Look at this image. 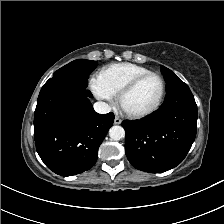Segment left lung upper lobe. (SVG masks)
Wrapping results in <instances>:
<instances>
[{
    "mask_svg": "<svg viewBox=\"0 0 224 224\" xmlns=\"http://www.w3.org/2000/svg\"><path fill=\"white\" fill-rule=\"evenodd\" d=\"M161 71L164 74L166 84V97L172 96L177 92L189 88L187 84L181 81L170 69L162 66Z\"/></svg>",
    "mask_w": 224,
    "mask_h": 224,
    "instance_id": "obj_1",
    "label": "left lung upper lobe"
}]
</instances>
